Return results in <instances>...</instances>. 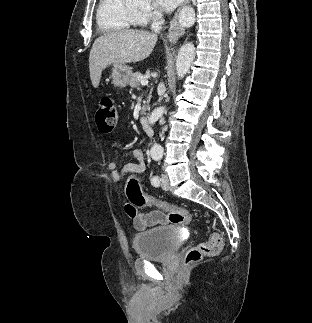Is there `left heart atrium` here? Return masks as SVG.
<instances>
[{
  "instance_id": "left-heart-atrium-1",
  "label": "left heart atrium",
  "mask_w": 312,
  "mask_h": 323,
  "mask_svg": "<svg viewBox=\"0 0 312 323\" xmlns=\"http://www.w3.org/2000/svg\"><path fill=\"white\" fill-rule=\"evenodd\" d=\"M183 2L184 0H151L150 7L161 8L162 12H175Z\"/></svg>"
}]
</instances>
